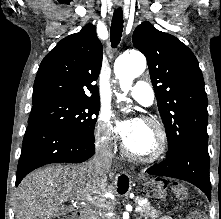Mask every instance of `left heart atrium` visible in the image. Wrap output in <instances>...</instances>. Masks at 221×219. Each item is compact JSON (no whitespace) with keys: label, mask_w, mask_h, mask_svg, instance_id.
<instances>
[{"label":"left heart atrium","mask_w":221,"mask_h":219,"mask_svg":"<svg viewBox=\"0 0 221 219\" xmlns=\"http://www.w3.org/2000/svg\"><path fill=\"white\" fill-rule=\"evenodd\" d=\"M139 122L137 119H120L116 123L115 132L121 139L126 141L138 128Z\"/></svg>","instance_id":"obj_1"}]
</instances>
